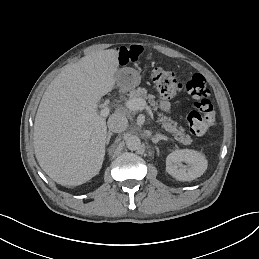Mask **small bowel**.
<instances>
[{
  "mask_svg": "<svg viewBox=\"0 0 259 259\" xmlns=\"http://www.w3.org/2000/svg\"><path fill=\"white\" fill-rule=\"evenodd\" d=\"M118 51V61L122 64H126L130 61H136L142 53V48L138 45H131L127 47H120ZM160 107L163 111L168 112L170 110V104L166 100L160 101Z\"/></svg>",
  "mask_w": 259,
  "mask_h": 259,
  "instance_id": "c3829d8e",
  "label": "small bowel"
}]
</instances>
